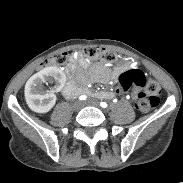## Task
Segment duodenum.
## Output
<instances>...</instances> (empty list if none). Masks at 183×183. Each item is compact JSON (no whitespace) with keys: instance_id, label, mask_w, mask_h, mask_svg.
Here are the masks:
<instances>
[{"instance_id":"duodenum-1","label":"duodenum","mask_w":183,"mask_h":183,"mask_svg":"<svg viewBox=\"0 0 183 183\" xmlns=\"http://www.w3.org/2000/svg\"><path fill=\"white\" fill-rule=\"evenodd\" d=\"M80 92V89L73 83L69 82L64 88V94L68 97H72Z\"/></svg>"}]
</instances>
